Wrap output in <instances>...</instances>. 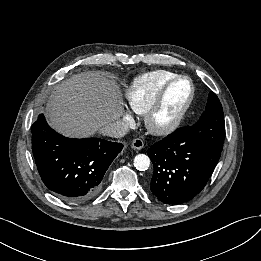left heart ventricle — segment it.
I'll return each instance as SVG.
<instances>
[{"label":"left heart ventricle","mask_w":261,"mask_h":261,"mask_svg":"<svg viewBox=\"0 0 261 261\" xmlns=\"http://www.w3.org/2000/svg\"><path fill=\"white\" fill-rule=\"evenodd\" d=\"M190 95V83L186 79L178 81L168 93L163 108L156 118L159 126L168 125L185 105Z\"/></svg>","instance_id":"obj_1"}]
</instances>
